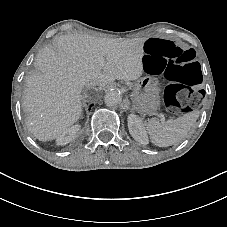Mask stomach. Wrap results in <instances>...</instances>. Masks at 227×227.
<instances>
[{
  "label": "stomach",
  "mask_w": 227,
  "mask_h": 227,
  "mask_svg": "<svg viewBox=\"0 0 227 227\" xmlns=\"http://www.w3.org/2000/svg\"><path fill=\"white\" fill-rule=\"evenodd\" d=\"M136 110L142 115H154L160 107L158 85L153 77L146 76L133 86Z\"/></svg>",
  "instance_id": "1"
}]
</instances>
